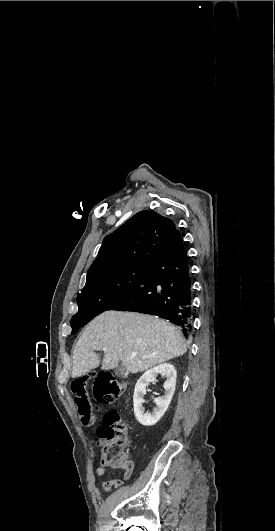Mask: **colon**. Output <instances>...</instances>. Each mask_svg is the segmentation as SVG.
<instances>
[{"mask_svg": "<svg viewBox=\"0 0 275 531\" xmlns=\"http://www.w3.org/2000/svg\"><path fill=\"white\" fill-rule=\"evenodd\" d=\"M93 399L97 405L114 402L127 390V382L120 377L113 376L109 371L101 369L97 374L83 373L80 377H75L68 382V391L72 393V400L77 405V423H88V415L92 414L90 400L84 396L92 392ZM96 434L100 441L105 443L104 457L106 467L118 468L123 460V456L130 445V435L127 425L121 421L119 412L115 409L107 410L98 426ZM131 468L126 466L123 477L128 479ZM122 485L119 479H110L109 488Z\"/></svg>", "mask_w": 275, "mask_h": 531, "instance_id": "colon-1", "label": "colon"}]
</instances>
